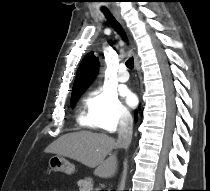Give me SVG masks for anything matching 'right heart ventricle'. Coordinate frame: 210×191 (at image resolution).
<instances>
[{
	"label": "right heart ventricle",
	"mask_w": 210,
	"mask_h": 191,
	"mask_svg": "<svg viewBox=\"0 0 210 191\" xmlns=\"http://www.w3.org/2000/svg\"><path fill=\"white\" fill-rule=\"evenodd\" d=\"M79 122L84 126H91V127L95 126L90 117V114L86 112L85 110L80 111Z\"/></svg>",
	"instance_id": "e07e8e85"
}]
</instances>
